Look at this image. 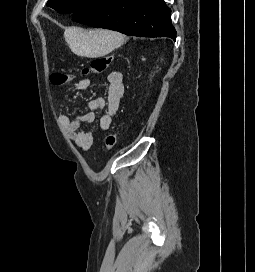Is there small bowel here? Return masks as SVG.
<instances>
[{
  "instance_id": "1",
  "label": "small bowel",
  "mask_w": 255,
  "mask_h": 272,
  "mask_svg": "<svg viewBox=\"0 0 255 272\" xmlns=\"http://www.w3.org/2000/svg\"><path fill=\"white\" fill-rule=\"evenodd\" d=\"M108 93L106 99L97 97L89 102V108L94 110H103L99 119V127L102 130H108L113 117L115 116L124 96L123 75L120 71H112L107 76ZM90 86L89 78H82L74 84V92L86 90ZM86 113L76 119H71L68 115H60L61 125L66 131L68 137L80 149L88 151L93 144V133L85 129V125L92 123L95 119L93 112Z\"/></svg>"
}]
</instances>
